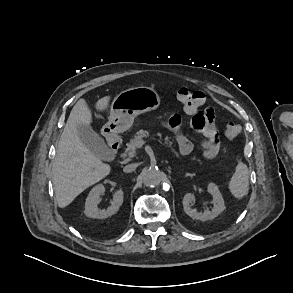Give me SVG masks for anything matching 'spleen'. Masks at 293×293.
I'll return each instance as SVG.
<instances>
[{"label": "spleen", "mask_w": 293, "mask_h": 293, "mask_svg": "<svg viewBox=\"0 0 293 293\" xmlns=\"http://www.w3.org/2000/svg\"><path fill=\"white\" fill-rule=\"evenodd\" d=\"M229 190L237 199H242L249 191L248 167L245 163L239 162L235 173L229 182Z\"/></svg>", "instance_id": "spleen-1"}]
</instances>
